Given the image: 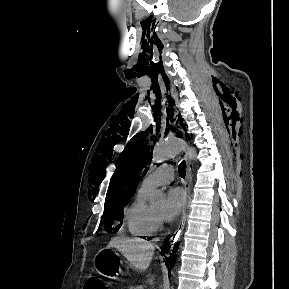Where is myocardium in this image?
<instances>
[{
  "label": "myocardium",
  "instance_id": "f54148a6",
  "mask_svg": "<svg viewBox=\"0 0 289 289\" xmlns=\"http://www.w3.org/2000/svg\"><path fill=\"white\" fill-rule=\"evenodd\" d=\"M149 212H150V216H151L156 228L157 229L158 228H160V229L163 228V221L157 217V215L154 213V211H153L151 206H149Z\"/></svg>",
  "mask_w": 289,
  "mask_h": 289
}]
</instances>
